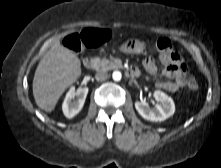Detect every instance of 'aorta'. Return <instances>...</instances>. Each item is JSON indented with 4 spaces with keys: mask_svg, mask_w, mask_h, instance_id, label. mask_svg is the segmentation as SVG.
I'll return each mask as SVG.
<instances>
[{
    "mask_svg": "<svg viewBox=\"0 0 221 168\" xmlns=\"http://www.w3.org/2000/svg\"><path fill=\"white\" fill-rule=\"evenodd\" d=\"M112 77H113L114 81H120L121 77H122L121 72L114 71L113 74H112Z\"/></svg>",
    "mask_w": 221,
    "mask_h": 168,
    "instance_id": "obj_1",
    "label": "aorta"
}]
</instances>
